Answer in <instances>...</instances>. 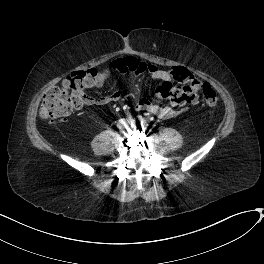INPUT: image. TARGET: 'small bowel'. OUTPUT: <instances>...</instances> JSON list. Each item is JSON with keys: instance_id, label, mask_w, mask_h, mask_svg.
<instances>
[{"instance_id": "c3829d8e", "label": "small bowel", "mask_w": 264, "mask_h": 264, "mask_svg": "<svg viewBox=\"0 0 264 264\" xmlns=\"http://www.w3.org/2000/svg\"><path fill=\"white\" fill-rule=\"evenodd\" d=\"M110 69L114 68V70L119 71L121 73L131 72L135 76L139 75L142 70H148L150 72V78L154 81H164V82H172L173 77L168 70L159 69L157 65L151 62H142L133 57H125L114 60L109 64ZM84 82L88 86H93L96 88H102L106 83V77L104 75H98L96 77H86ZM122 91L115 90L110 94L99 96V97H91L85 96V104L87 105H99L106 106L111 103L117 102L122 98ZM197 99L193 103H195ZM134 108L137 111H147L158 118L168 119L177 114V110L169 105H157L152 103L147 98H140L134 104Z\"/></svg>"}]
</instances>
